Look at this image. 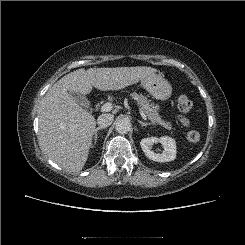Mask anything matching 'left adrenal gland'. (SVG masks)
Masks as SVG:
<instances>
[{
  "instance_id": "a2214340",
  "label": "left adrenal gland",
  "mask_w": 245,
  "mask_h": 245,
  "mask_svg": "<svg viewBox=\"0 0 245 245\" xmlns=\"http://www.w3.org/2000/svg\"><path fill=\"white\" fill-rule=\"evenodd\" d=\"M138 123H140L142 127L151 125V123H146V122H143V121H140V120H138Z\"/></svg>"
}]
</instances>
